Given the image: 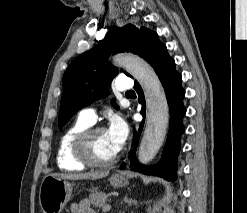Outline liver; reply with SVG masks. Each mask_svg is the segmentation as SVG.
<instances>
[{
    "label": "liver",
    "mask_w": 247,
    "mask_h": 213,
    "mask_svg": "<svg viewBox=\"0 0 247 213\" xmlns=\"http://www.w3.org/2000/svg\"><path fill=\"white\" fill-rule=\"evenodd\" d=\"M108 171H96V172H89V173H77V174H60V173H53L51 176L58 177L64 180H83V179H101L108 176Z\"/></svg>",
    "instance_id": "6515ba94"
}]
</instances>
